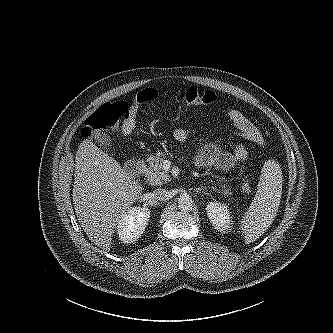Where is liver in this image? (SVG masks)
Listing matches in <instances>:
<instances>
[{"label":"liver","instance_id":"6515ba94","mask_svg":"<svg viewBox=\"0 0 333 333\" xmlns=\"http://www.w3.org/2000/svg\"><path fill=\"white\" fill-rule=\"evenodd\" d=\"M75 158L72 196L76 216L89 239L109 251L115 225L142 195L143 187L90 139L79 145Z\"/></svg>","mask_w":333,"mask_h":333}]
</instances>
